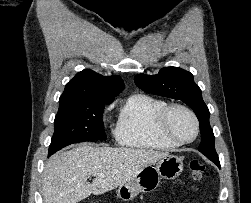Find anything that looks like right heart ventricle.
<instances>
[{
	"mask_svg": "<svg viewBox=\"0 0 251 203\" xmlns=\"http://www.w3.org/2000/svg\"><path fill=\"white\" fill-rule=\"evenodd\" d=\"M167 106L163 100L134 95L124 103L115 131L118 144L142 150H169L178 145L162 138L156 130L159 113Z\"/></svg>",
	"mask_w": 251,
	"mask_h": 203,
	"instance_id": "1",
	"label": "right heart ventricle"
}]
</instances>
